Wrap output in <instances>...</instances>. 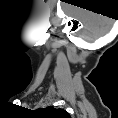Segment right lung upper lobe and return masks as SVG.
Wrapping results in <instances>:
<instances>
[{"label":"right lung upper lobe","mask_w":118,"mask_h":118,"mask_svg":"<svg viewBox=\"0 0 118 118\" xmlns=\"http://www.w3.org/2000/svg\"><path fill=\"white\" fill-rule=\"evenodd\" d=\"M47 111L50 112V113H57V112H60V113H64L65 111L62 110V109H55L53 107H48L47 108Z\"/></svg>","instance_id":"right-lung-upper-lobe-1"}]
</instances>
